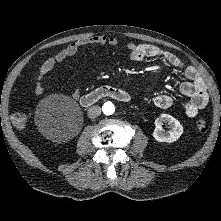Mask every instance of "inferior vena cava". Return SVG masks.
Segmentation results:
<instances>
[{
	"instance_id": "obj_1",
	"label": "inferior vena cava",
	"mask_w": 221,
	"mask_h": 221,
	"mask_svg": "<svg viewBox=\"0 0 221 221\" xmlns=\"http://www.w3.org/2000/svg\"><path fill=\"white\" fill-rule=\"evenodd\" d=\"M100 114L101 108L99 106H91L87 111V115L91 119L98 117Z\"/></svg>"
}]
</instances>
